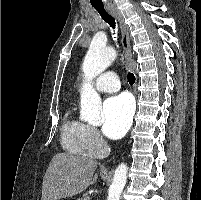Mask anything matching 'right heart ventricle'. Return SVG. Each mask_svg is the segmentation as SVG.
I'll use <instances>...</instances> for the list:
<instances>
[{"mask_svg": "<svg viewBox=\"0 0 201 200\" xmlns=\"http://www.w3.org/2000/svg\"><path fill=\"white\" fill-rule=\"evenodd\" d=\"M86 125L72 113L71 108L65 113L61 126V141L65 150L78 155L89 151L85 139Z\"/></svg>", "mask_w": 201, "mask_h": 200, "instance_id": "1", "label": "right heart ventricle"}]
</instances>
